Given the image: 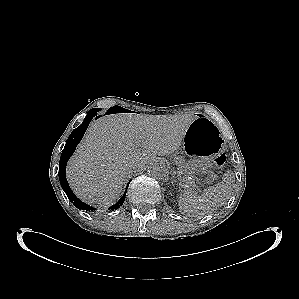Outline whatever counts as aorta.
I'll list each match as a JSON object with an SVG mask.
<instances>
[{"label": "aorta", "mask_w": 299, "mask_h": 299, "mask_svg": "<svg viewBox=\"0 0 299 299\" xmlns=\"http://www.w3.org/2000/svg\"><path fill=\"white\" fill-rule=\"evenodd\" d=\"M148 174L155 179H164L167 175V169L164 163L153 162L148 167Z\"/></svg>", "instance_id": "1"}]
</instances>
